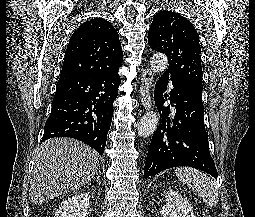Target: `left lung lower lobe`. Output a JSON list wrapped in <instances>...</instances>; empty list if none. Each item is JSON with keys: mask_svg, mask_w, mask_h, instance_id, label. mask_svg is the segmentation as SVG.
I'll return each instance as SVG.
<instances>
[{"mask_svg": "<svg viewBox=\"0 0 255 217\" xmlns=\"http://www.w3.org/2000/svg\"><path fill=\"white\" fill-rule=\"evenodd\" d=\"M169 78L173 85L169 100L171 106L176 104L174 120L169 118L170 106H163L168 97L163 93ZM154 99L160 112V124L150 143L144 177L173 167L189 166L217 179L204 126L202 90L165 72L156 83Z\"/></svg>", "mask_w": 255, "mask_h": 217, "instance_id": "1", "label": "left lung lower lobe"}]
</instances>
